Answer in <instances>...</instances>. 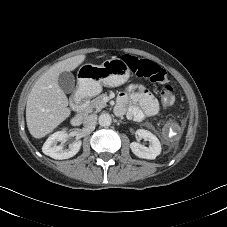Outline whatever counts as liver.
<instances>
[{"mask_svg":"<svg viewBox=\"0 0 227 227\" xmlns=\"http://www.w3.org/2000/svg\"><path fill=\"white\" fill-rule=\"evenodd\" d=\"M77 55L54 64L34 84L26 105V122L34 138H43L70 116L68 98L58 84L62 72L75 70L85 60Z\"/></svg>","mask_w":227,"mask_h":227,"instance_id":"obj_1","label":"liver"}]
</instances>
